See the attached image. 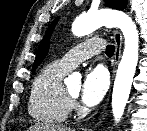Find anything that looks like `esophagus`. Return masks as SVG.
Listing matches in <instances>:
<instances>
[{
  "label": "esophagus",
  "mask_w": 147,
  "mask_h": 131,
  "mask_svg": "<svg viewBox=\"0 0 147 131\" xmlns=\"http://www.w3.org/2000/svg\"><path fill=\"white\" fill-rule=\"evenodd\" d=\"M113 38H114V41H115V52H114V58H113V61H112V65H113L112 79L114 78V75H115V72H116V67H117V65L119 63V60H120V57H121L122 35L118 30H115L113 32ZM108 100H109V98L106 99L104 108H103V110L101 112V116L99 118V121L95 125V128L97 126H99L102 123L103 119H104ZM85 131H93V130L88 129V130H85Z\"/></svg>",
  "instance_id": "esophagus-1"
}]
</instances>
